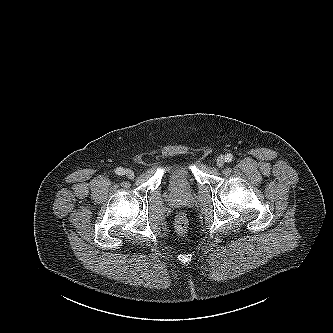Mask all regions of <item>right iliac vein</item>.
Masks as SVG:
<instances>
[{"label":"right iliac vein","instance_id":"right-iliac-vein-1","mask_svg":"<svg viewBox=\"0 0 333 333\" xmlns=\"http://www.w3.org/2000/svg\"><path fill=\"white\" fill-rule=\"evenodd\" d=\"M125 175L129 178V179H133L134 178V172L131 169H126L125 170Z\"/></svg>","mask_w":333,"mask_h":333}]
</instances>
